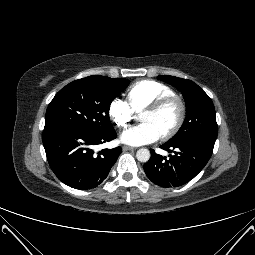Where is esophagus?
Listing matches in <instances>:
<instances>
[{
	"instance_id": "obj_1",
	"label": "esophagus",
	"mask_w": 255,
	"mask_h": 255,
	"mask_svg": "<svg viewBox=\"0 0 255 255\" xmlns=\"http://www.w3.org/2000/svg\"><path fill=\"white\" fill-rule=\"evenodd\" d=\"M123 150H135L134 147L128 146V145H123L122 146Z\"/></svg>"
}]
</instances>
